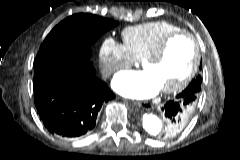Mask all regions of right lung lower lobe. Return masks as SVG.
<instances>
[{
  "mask_svg": "<svg viewBox=\"0 0 240 160\" xmlns=\"http://www.w3.org/2000/svg\"><path fill=\"white\" fill-rule=\"evenodd\" d=\"M34 101L46 128L62 137H81L96 125L103 103L115 98L93 67L49 60L34 71Z\"/></svg>",
  "mask_w": 240,
  "mask_h": 160,
  "instance_id": "1",
  "label": "right lung lower lobe"
}]
</instances>
